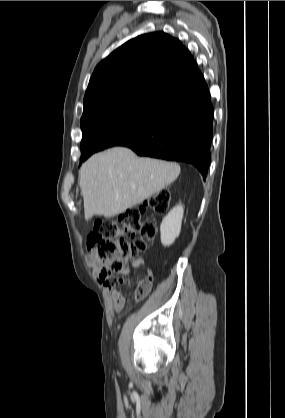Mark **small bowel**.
<instances>
[{
  "label": "small bowel",
  "mask_w": 285,
  "mask_h": 418,
  "mask_svg": "<svg viewBox=\"0 0 285 418\" xmlns=\"http://www.w3.org/2000/svg\"><path fill=\"white\" fill-rule=\"evenodd\" d=\"M89 265H90V268L95 273H97V274L99 273L100 268H101V264L97 259H89ZM134 265L136 267L145 266V261L141 257L137 258L134 261ZM153 281H154L153 270L150 266H146L145 276L142 279V282L147 284L148 287H149V290H150V287H151ZM107 290H108L109 297L111 298L112 303H113L114 312H120L122 310L123 306H124V303H125L123 295L119 291H117L114 287H107Z\"/></svg>",
  "instance_id": "obj_1"
}]
</instances>
